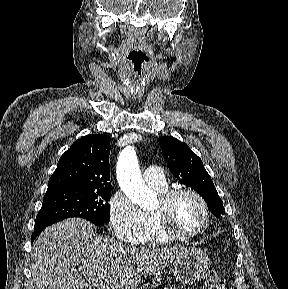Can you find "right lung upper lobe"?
Here are the masks:
<instances>
[{"instance_id":"right-lung-upper-lobe-1","label":"right lung upper lobe","mask_w":288,"mask_h":289,"mask_svg":"<svg viewBox=\"0 0 288 289\" xmlns=\"http://www.w3.org/2000/svg\"><path fill=\"white\" fill-rule=\"evenodd\" d=\"M107 135H87L75 141L60 158L48 190H95L111 187Z\"/></svg>"}]
</instances>
